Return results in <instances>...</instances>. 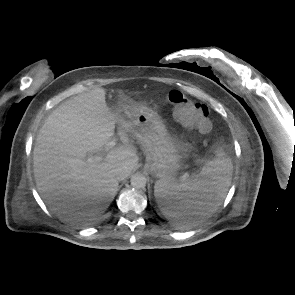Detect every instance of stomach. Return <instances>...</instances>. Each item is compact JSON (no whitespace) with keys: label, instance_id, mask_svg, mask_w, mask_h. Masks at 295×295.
Masks as SVG:
<instances>
[{"label":"stomach","instance_id":"0dacf381","mask_svg":"<svg viewBox=\"0 0 295 295\" xmlns=\"http://www.w3.org/2000/svg\"><path fill=\"white\" fill-rule=\"evenodd\" d=\"M119 120L126 124L146 150L145 169L158 178H171L182 162V143L172 137L161 118L152 108L124 101L112 108ZM162 213L165 205H159Z\"/></svg>","mask_w":295,"mask_h":295}]
</instances>
